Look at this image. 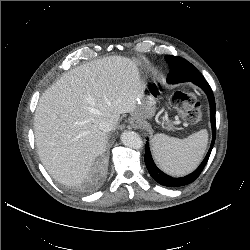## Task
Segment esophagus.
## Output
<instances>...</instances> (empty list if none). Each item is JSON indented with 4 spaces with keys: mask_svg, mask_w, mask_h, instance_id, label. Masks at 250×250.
I'll list each match as a JSON object with an SVG mask.
<instances>
[{
    "mask_svg": "<svg viewBox=\"0 0 250 250\" xmlns=\"http://www.w3.org/2000/svg\"><path fill=\"white\" fill-rule=\"evenodd\" d=\"M130 124L135 129H140L142 127V122L136 117H131Z\"/></svg>",
    "mask_w": 250,
    "mask_h": 250,
    "instance_id": "esophagus-1",
    "label": "esophagus"
}]
</instances>
